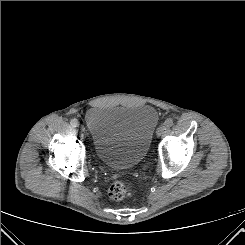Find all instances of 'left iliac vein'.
Instances as JSON below:
<instances>
[{"label": "left iliac vein", "instance_id": "left-iliac-vein-1", "mask_svg": "<svg viewBox=\"0 0 245 245\" xmlns=\"http://www.w3.org/2000/svg\"><path fill=\"white\" fill-rule=\"evenodd\" d=\"M165 129L166 127L164 125L159 126L157 129V136H161L164 133Z\"/></svg>", "mask_w": 245, "mask_h": 245}]
</instances>
